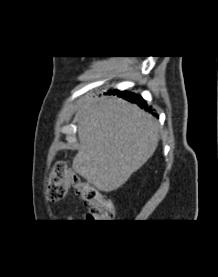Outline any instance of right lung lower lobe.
I'll return each instance as SVG.
<instances>
[{
  "label": "right lung lower lobe",
  "instance_id": "right-lung-lower-lobe-1",
  "mask_svg": "<svg viewBox=\"0 0 218 277\" xmlns=\"http://www.w3.org/2000/svg\"><path fill=\"white\" fill-rule=\"evenodd\" d=\"M109 94H118V96L132 102V103H136L138 106H140L141 108H145L146 111L151 112L153 115H156L155 113L152 112L151 108H147V106L145 105V101L143 100V98L139 95L133 94V93H119L118 91H113L110 92Z\"/></svg>",
  "mask_w": 218,
  "mask_h": 277
}]
</instances>
